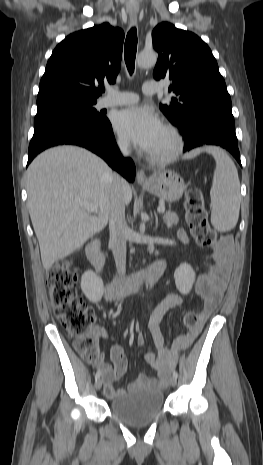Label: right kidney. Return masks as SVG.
Here are the masks:
<instances>
[{"label":"right kidney","instance_id":"right-kidney-1","mask_svg":"<svg viewBox=\"0 0 263 465\" xmlns=\"http://www.w3.org/2000/svg\"><path fill=\"white\" fill-rule=\"evenodd\" d=\"M81 289L89 301L97 303L103 295V281L93 271H87L81 278Z\"/></svg>","mask_w":263,"mask_h":465}]
</instances>
